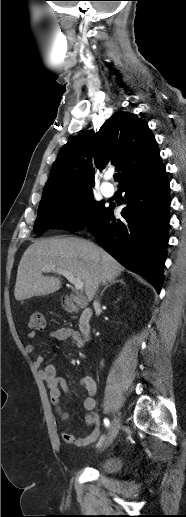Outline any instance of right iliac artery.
<instances>
[{
	"mask_svg": "<svg viewBox=\"0 0 186 517\" xmlns=\"http://www.w3.org/2000/svg\"><path fill=\"white\" fill-rule=\"evenodd\" d=\"M104 424H105L106 427H109L110 421L107 418H105L104 419Z\"/></svg>",
	"mask_w": 186,
	"mask_h": 517,
	"instance_id": "1",
	"label": "right iliac artery"
}]
</instances>
